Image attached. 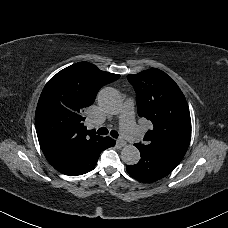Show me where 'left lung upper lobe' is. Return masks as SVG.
Masks as SVG:
<instances>
[{
  "label": "left lung upper lobe",
  "mask_w": 228,
  "mask_h": 228,
  "mask_svg": "<svg viewBox=\"0 0 228 228\" xmlns=\"http://www.w3.org/2000/svg\"><path fill=\"white\" fill-rule=\"evenodd\" d=\"M127 79L136 92L138 115L152 123L145 143L137 145L182 159L191 139V118L178 85L156 68L128 75Z\"/></svg>",
  "instance_id": "5c2ea615"
}]
</instances>
